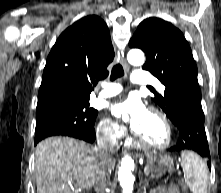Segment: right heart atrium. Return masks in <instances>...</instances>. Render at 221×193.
<instances>
[{
	"label": "right heart atrium",
	"mask_w": 221,
	"mask_h": 193,
	"mask_svg": "<svg viewBox=\"0 0 221 193\" xmlns=\"http://www.w3.org/2000/svg\"><path fill=\"white\" fill-rule=\"evenodd\" d=\"M97 134L101 140L116 143L124 138V128L108 116H103L97 125Z\"/></svg>",
	"instance_id": "d8ad5b80"
}]
</instances>
